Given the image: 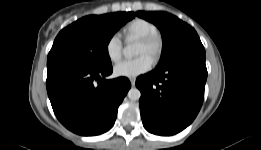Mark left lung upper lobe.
I'll return each instance as SVG.
<instances>
[{"instance_id":"obj_1","label":"left lung upper lobe","mask_w":261,"mask_h":150,"mask_svg":"<svg viewBox=\"0 0 261 150\" xmlns=\"http://www.w3.org/2000/svg\"><path fill=\"white\" fill-rule=\"evenodd\" d=\"M136 15L152 22L161 31L163 52L159 64L167 60L181 46L199 40L196 31L190 25L167 12L138 11Z\"/></svg>"}]
</instances>
